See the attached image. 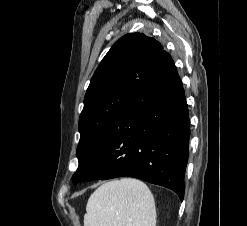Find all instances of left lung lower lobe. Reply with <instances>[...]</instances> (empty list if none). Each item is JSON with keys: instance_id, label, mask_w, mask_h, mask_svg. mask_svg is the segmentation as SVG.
Segmentation results:
<instances>
[{"instance_id": "1", "label": "left lung lower lobe", "mask_w": 247, "mask_h": 226, "mask_svg": "<svg viewBox=\"0 0 247 226\" xmlns=\"http://www.w3.org/2000/svg\"><path fill=\"white\" fill-rule=\"evenodd\" d=\"M189 136L182 82L163 50L92 150L80 181L135 177L167 187L183 200Z\"/></svg>"}]
</instances>
